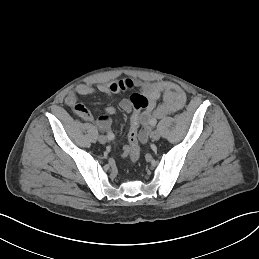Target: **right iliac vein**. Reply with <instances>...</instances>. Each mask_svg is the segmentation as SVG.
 <instances>
[{
  "mask_svg": "<svg viewBox=\"0 0 259 259\" xmlns=\"http://www.w3.org/2000/svg\"><path fill=\"white\" fill-rule=\"evenodd\" d=\"M98 141L101 143V144H105L107 142V138L104 136V135H100L98 137Z\"/></svg>",
  "mask_w": 259,
  "mask_h": 259,
  "instance_id": "right-iliac-vein-1",
  "label": "right iliac vein"
}]
</instances>
